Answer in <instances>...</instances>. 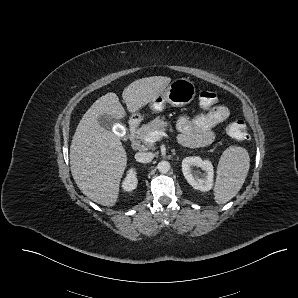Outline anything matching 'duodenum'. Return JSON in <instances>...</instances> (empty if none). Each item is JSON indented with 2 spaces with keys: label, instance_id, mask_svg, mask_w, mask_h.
I'll use <instances>...</instances> for the list:
<instances>
[{
  "label": "duodenum",
  "instance_id": "duodenum-1",
  "mask_svg": "<svg viewBox=\"0 0 298 298\" xmlns=\"http://www.w3.org/2000/svg\"><path fill=\"white\" fill-rule=\"evenodd\" d=\"M137 123L135 121L130 122L129 125V138L132 143V148L138 150L140 148L139 142L136 140ZM180 143L185 146H195L196 142L190 137L180 136Z\"/></svg>",
  "mask_w": 298,
  "mask_h": 298
}]
</instances>
